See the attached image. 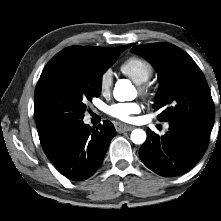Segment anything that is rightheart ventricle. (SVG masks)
<instances>
[{
    "mask_svg": "<svg viewBox=\"0 0 221 221\" xmlns=\"http://www.w3.org/2000/svg\"><path fill=\"white\" fill-rule=\"evenodd\" d=\"M120 69L123 74L131 78L137 84L148 81L153 74L152 65L148 61L136 56L125 60Z\"/></svg>",
    "mask_w": 221,
    "mask_h": 221,
    "instance_id": "obj_1",
    "label": "right heart ventricle"
}]
</instances>
